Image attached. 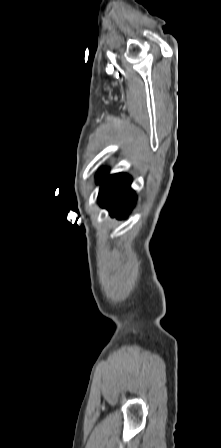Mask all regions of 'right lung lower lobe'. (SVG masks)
Returning a JSON list of instances; mask_svg holds the SVG:
<instances>
[{"mask_svg":"<svg viewBox=\"0 0 221 448\" xmlns=\"http://www.w3.org/2000/svg\"><path fill=\"white\" fill-rule=\"evenodd\" d=\"M131 177L118 173L108 176V170L104 169L97 175V182L101 184L98 196L102 208H106L113 216L124 218L134 207L136 196L130 188Z\"/></svg>","mask_w":221,"mask_h":448,"instance_id":"98d812e1","label":"right lung lower lobe"}]
</instances>
